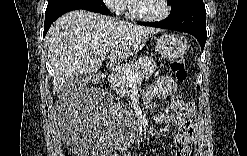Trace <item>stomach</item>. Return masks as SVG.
<instances>
[{
    "mask_svg": "<svg viewBox=\"0 0 247 156\" xmlns=\"http://www.w3.org/2000/svg\"><path fill=\"white\" fill-rule=\"evenodd\" d=\"M156 44L157 50L163 58L179 57L187 49V40L179 34L162 35Z\"/></svg>",
    "mask_w": 247,
    "mask_h": 156,
    "instance_id": "obj_1",
    "label": "stomach"
}]
</instances>
